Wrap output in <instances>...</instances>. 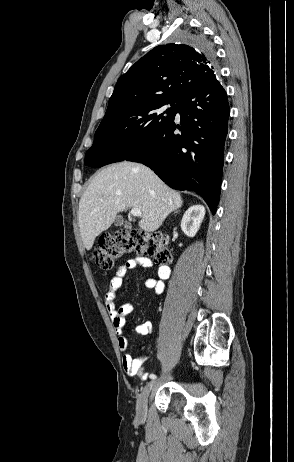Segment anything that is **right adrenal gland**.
<instances>
[{"label": "right adrenal gland", "instance_id": "obj_1", "mask_svg": "<svg viewBox=\"0 0 294 462\" xmlns=\"http://www.w3.org/2000/svg\"><path fill=\"white\" fill-rule=\"evenodd\" d=\"M178 212H179V211H176V212H174V214H175V213H178Z\"/></svg>", "mask_w": 294, "mask_h": 462}]
</instances>
